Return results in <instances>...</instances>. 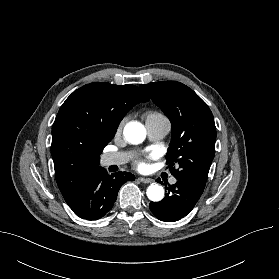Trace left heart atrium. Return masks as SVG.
<instances>
[{"label":"left heart atrium","instance_id":"1","mask_svg":"<svg viewBox=\"0 0 279 279\" xmlns=\"http://www.w3.org/2000/svg\"><path fill=\"white\" fill-rule=\"evenodd\" d=\"M138 169L145 170L147 168V164L144 161H140L137 164Z\"/></svg>","mask_w":279,"mask_h":279}]
</instances>
